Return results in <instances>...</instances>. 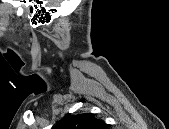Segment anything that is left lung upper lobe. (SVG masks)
Listing matches in <instances>:
<instances>
[{"label": "left lung upper lobe", "mask_w": 169, "mask_h": 129, "mask_svg": "<svg viewBox=\"0 0 169 129\" xmlns=\"http://www.w3.org/2000/svg\"><path fill=\"white\" fill-rule=\"evenodd\" d=\"M56 129H106V124L89 113L73 115L60 121Z\"/></svg>", "instance_id": "5c2ea615"}]
</instances>
